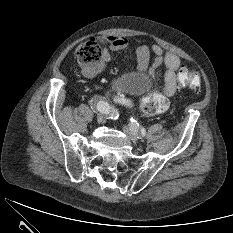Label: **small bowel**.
Instances as JSON below:
<instances>
[{"mask_svg": "<svg viewBox=\"0 0 233 233\" xmlns=\"http://www.w3.org/2000/svg\"><path fill=\"white\" fill-rule=\"evenodd\" d=\"M105 52L103 62L95 67L86 68L84 74L86 77H95L103 68L105 62L109 59L110 51H118L125 49L129 42L126 38L120 36H107L101 39ZM150 51L155 54V60L152 70L160 65L165 66L164 74V94L172 97L177 90V80L179 71L182 69L180 59L173 53L164 51L160 46L153 45L151 48L145 44L138 45L136 52L138 55V70L143 71L147 68Z\"/></svg>", "mask_w": 233, "mask_h": 233, "instance_id": "c3829d8e", "label": "small bowel"}]
</instances>
